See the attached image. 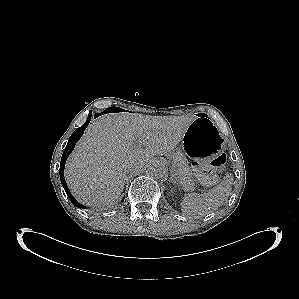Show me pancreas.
<instances>
[{
  "label": "pancreas",
  "instance_id": "cf45deb5",
  "mask_svg": "<svg viewBox=\"0 0 299 299\" xmlns=\"http://www.w3.org/2000/svg\"><path fill=\"white\" fill-rule=\"evenodd\" d=\"M176 170L179 180L186 188L192 190L194 188L193 173L189 167L188 160L182 153L175 156Z\"/></svg>",
  "mask_w": 299,
  "mask_h": 299
}]
</instances>
